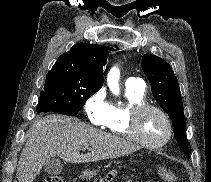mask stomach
<instances>
[{
	"mask_svg": "<svg viewBox=\"0 0 211 182\" xmlns=\"http://www.w3.org/2000/svg\"><path fill=\"white\" fill-rule=\"evenodd\" d=\"M96 173L94 172V171H84L82 174H81V177L82 178H86V179H90V178H92L93 177V175H95Z\"/></svg>",
	"mask_w": 211,
	"mask_h": 182,
	"instance_id": "0dacf381",
	"label": "stomach"
}]
</instances>
